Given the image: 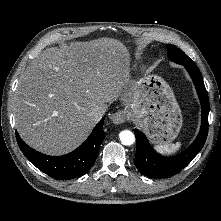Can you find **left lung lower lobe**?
Listing matches in <instances>:
<instances>
[{
	"mask_svg": "<svg viewBox=\"0 0 221 221\" xmlns=\"http://www.w3.org/2000/svg\"><path fill=\"white\" fill-rule=\"evenodd\" d=\"M193 79L202 106V125L195 141L188 149L174 157L157 154L146 136L134 129L136 136V156L134 163L141 174L149 177H167L185 168L202 149L208 134L209 98L199 69L194 62L184 64Z\"/></svg>",
	"mask_w": 221,
	"mask_h": 221,
	"instance_id": "1",
	"label": "left lung lower lobe"
}]
</instances>
